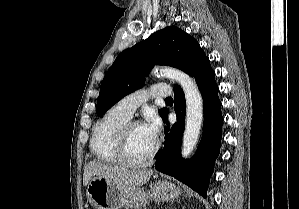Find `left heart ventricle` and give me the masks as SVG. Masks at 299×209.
<instances>
[{
    "instance_id": "obj_1",
    "label": "left heart ventricle",
    "mask_w": 299,
    "mask_h": 209,
    "mask_svg": "<svg viewBox=\"0 0 299 209\" xmlns=\"http://www.w3.org/2000/svg\"><path fill=\"white\" fill-rule=\"evenodd\" d=\"M155 143L147 136L142 126L133 127L128 135L127 155L132 161H142L148 157Z\"/></svg>"
}]
</instances>
